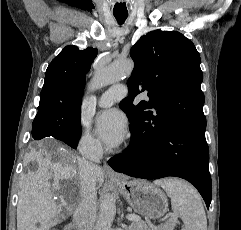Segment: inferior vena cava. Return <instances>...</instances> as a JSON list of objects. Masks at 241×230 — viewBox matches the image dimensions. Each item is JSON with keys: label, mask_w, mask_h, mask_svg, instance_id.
Masks as SVG:
<instances>
[{"label": "inferior vena cava", "mask_w": 241, "mask_h": 230, "mask_svg": "<svg viewBox=\"0 0 241 230\" xmlns=\"http://www.w3.org/2000/svg\"><path fill=\"white\" fill-rule=\"evenodd\" d=\"M82 155L85 157L80 168L81 200L75 208L73 223L77 230L96 229V176L94 162H98L102 156L100 146H92L84 149Z\"/></svg>", "instance_id": "1"}]
</instances>
